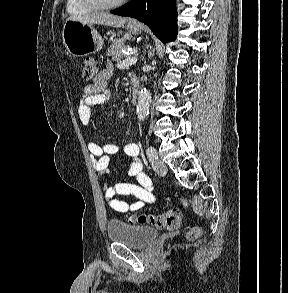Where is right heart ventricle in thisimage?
<instances>
[{
    "label": "right heart ventricle",
    "instance_id": "e07e8e85",
    "mask_svg": "<svg viewBox=\"0 0 288 293\" xmlns=\"http://www.w3.org/2000/svg\"><path fill=\"white\" fill-rule=\"evenodd\" d=\"M66 9L69 14L82 15L94 11L96 8L85 4L82 0H67Z\"/></svg>",
    "mask_w": 288,
    "mask_h": 293
}]
</instances>
